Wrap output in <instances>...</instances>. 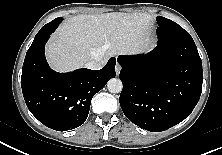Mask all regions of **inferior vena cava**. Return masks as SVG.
I'll return each instance as SVG.
<instances>
[{
    "mask_svg": "<svg viewBox=\"0 0 222 155\" xmlns=\"http://www.w3.org/2000/svg\"><path fill=\"white\" fill-rule=\"evenodd\" d=\"M85 66L91 70H100L104 66V63L101 61L92 60L86 63Z\"/></svg>",
    "mask_w": 222,
    "mask_h": 155,
    "instance_id": "1",
    "label": "inferior vena cava"
}]
</instances>
